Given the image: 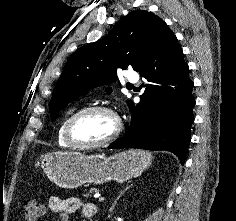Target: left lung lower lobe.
<instances>
[{"mask_svg": "<svg viewBox=\"0 0 236 221\" xmlns=\"http://www.w3.org/2000/svg\"><path fill=\"white\" fill-rule=\"evenodd\" d=\"M188 71L183 51L169 29L138 71L145 78V91L135 107L133 103L129 106L131 126L112 149L166 150L184 163L195 105Z\"/></svg>", "mask_w": 236, "mask_h": 221, "instance_id": "1", "label": "left lung lower lobe"}]
</instances>
